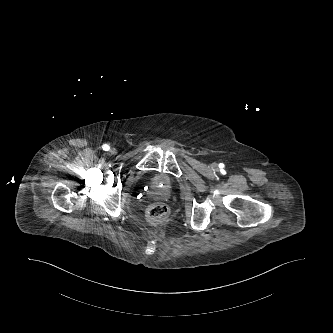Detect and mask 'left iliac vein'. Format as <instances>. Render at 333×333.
I'll use <instances>...</instances> for the list:
<instances>
[{"label":"left iliac vein","instance_id":"obj_1","mask_svg":"<svg viewBox=\"0 0 333 333\" xmlns=\"http://www.w3.org/2000/svg\"><path fill=\"white\" fill-rule=\"evenodd\" d=\"M212 166H213L214 168H216L217 165H216V164H213Z\"/></svg>","mask_w":333,"mask_h":333}]
</instances>
